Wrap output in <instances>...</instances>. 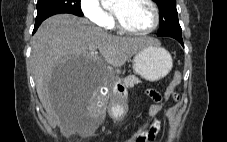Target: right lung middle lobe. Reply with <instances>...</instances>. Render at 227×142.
I'll use <instances>...</instances> for the list:
<instances>
[{"mask_svg":"<svg viewBox=\"0 0 227 142\" xmlns=\"http://www.w3.org/2000/svg\"><path fill=\"white\" fill-rule=\"evenodd\" d=\"M58 13L83 16L80 0H38L36 19L48 18Z\"/></svg>","mask_w":227,"mask_h":142,"instance_id":"right-lung-middle-lobe-1","label":"right lung middle lobe"}]
</instances>
